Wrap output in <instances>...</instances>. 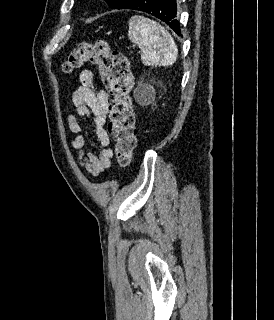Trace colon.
I'll return each mask as SVG.
<instances>
[{
	"mask_svg": "<svg viewBox=\"0 0 274 320\" xmlns=\"http://www.w3.org/2000/svg\"><path fill=\"white\" fill-rule=\"evenodd\" d=\"M91 64L99 69L100 77L111 96L108 130L115 142L118 163L131 164L136 146V121L130 90L133 77L125 55L112 51L106 41L80 44L71 50L63 64V71L70 73Z\"/></svg>",
	"mask_w": 274,
	"mask_h": 320,
	"instance_id": "colon-1",
	"label": "colon"
}]
</instances>
